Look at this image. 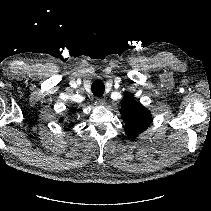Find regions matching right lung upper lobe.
I'll list each match as a JSON object with an SVG mask.
<instances>
[{
    "label": "right lung upper lobe",
    "mask_w": 211,
    "mask_h": 211,
    "mask_svg": "<svg viewBox=\"0 0 211 211\" xmlns=\"http://www.w3.org/2000/svg\"><path fill=\"white\" fill-rule=\"evenodd\" d=\"M62 121H63V118L60 119V122H62Z\"/></svg>",
    "instance_id": "right-lung-upper-lobe-1"
}]
</instances>
